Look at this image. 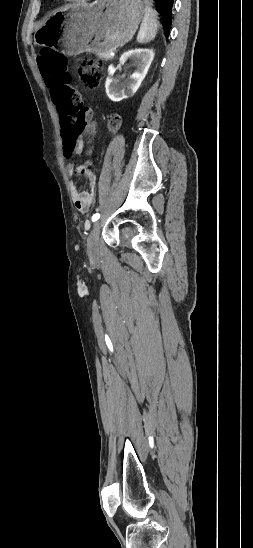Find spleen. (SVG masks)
I'll list each match as a JSON object with an SVG mask.
<instances>
[{"label":"spleen","mask_w":253,"mask_h":548,"mask_svg":"<svg viewBox=\"0 0 253 548\" xmlns=\"http://www.w3.org/2000/svg\"><path fill=\"white\" fill-rule=\"evenodd\" d=\"M145 3L144 18L137 36V41L139 43H147L153 40L159 27L157 12L150 7L147 0Z\"/></svg>","instance_id":"1"}]
</instances>
